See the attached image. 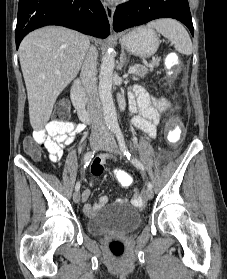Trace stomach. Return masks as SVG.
Here are the masks:
<instances>
[{"mask_svg": "<svg viewBox=\"0 0 227 279\" xmlns=\"http://www.w3.org/2000/svg\"><path fill=\"white\" fill-rule=\"evenodd\" d=\"M119 42L130 54L143 58L154 55L160 44L158 35L146 27L133 29L123 35Z\"/></svg>", "mask_w": 227, "mask_h": 279, "instance_id": "0dacf381", "label": "stomach"}]
</instances>
